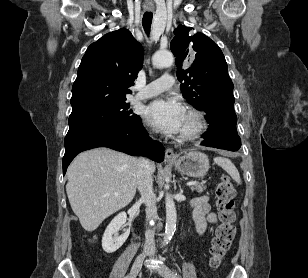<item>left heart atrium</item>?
I'll list each match as a JSON object with an SVG mask.
<instances>
[{"mask_svg": "<svg viewBox=\"0 0 308 278\" xmlns=\"http://www.w3.org/2000/svg\"><path fill=\"white\" fill-rule=\"evenodd\" d=\"M185 113L182 104L175 99L153 101L145 110L147 120L167 133L180 131Z\"/></svg>", "mask_w": 308, "mask_h": 278, "instance_id": "left-heart-atrium-1", "label": "left heart atrium"}]
</instances>
